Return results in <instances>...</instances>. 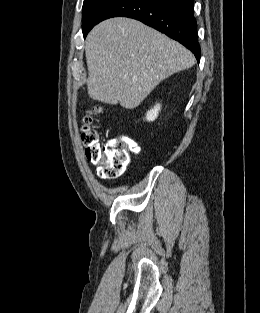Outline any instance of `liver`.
I'll use <instances>...</instances> for the list:
<instances>
[{"instance_id":"liver-1","label":"liver","mask_w":260,"mask_h":313,"mask_svg":"<svg viewBox=\"0 0 260 313\" xmlns=\"http://www.w3.org/2000/svg\"><path fill=\"white\" fill-rule=\"evenodd\" d=\"M89 96L133 109L165 78L195 64L180 43L124 17L96 25L85 42Z\"/></svg>"}]
</instances>
